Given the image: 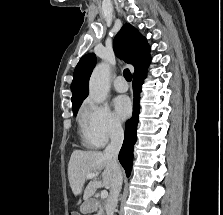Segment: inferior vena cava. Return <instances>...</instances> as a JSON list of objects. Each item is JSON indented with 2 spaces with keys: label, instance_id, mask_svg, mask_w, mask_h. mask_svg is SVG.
Segmentation results:
<instances>
[{
  "label": "inferior vena cava",
  "instance_id": "inferior-vena-cava-1",
  "mask_svg": "<svg viewBox=\"0 0 223 215\" xmlns=\"http://www.w3.org/2000/svg\"><path fill=\"white\" fill-rule=\"evenodd\" d=\"M110 139V143H108L107 147L104 149L105 157L111 159V165L114 173L109 197L105 205L107 215H113L115 211L123 181L121 169L118 165V153L124 139V131L122 127H113L110 133Z\"/></svg>",
  "mask_w": 223,
  "mask_h": 215
}]
</instances>
